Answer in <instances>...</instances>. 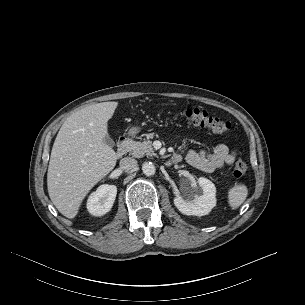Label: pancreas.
I'll use <instances>...</instances> for the list:
<instances>
[{"instance_id": "obj_1", "label": "pancreas", "mask_w": 305, "mask_h": 305, "mask_svg": "<svg viewBox=\"0 0 305 305\" xmlns=\"http://www.w3.org/2000/svg\"><path fill=\"white\" fill-rule=\"evenodd\" d=\"M148 140L143 142L131 141L129 145L130 154L136 158H141L143 156H155L154 149L152 147V142L149 140L153 137V134H146Z\"/></svg>"}]
</instances>
